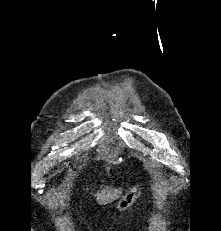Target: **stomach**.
Listing matches in <instances>:
<instances>
[{"label":"stomach","mask_w":221,"mask_h":231,"mask_svg":"<svg viewBox=\"0 0 221 231\" xmlns=\"http://www.w3.org/2000/svg\"><path fill=\"white\" fill-rule=\"evenodd\" d=\"M141 191L138 186H134L115 204V208L119 211H125L130 208L136 199L140 196Z\"/></svg>","instance_id":"0dacf381"}]
</instances>
